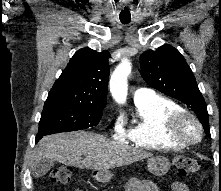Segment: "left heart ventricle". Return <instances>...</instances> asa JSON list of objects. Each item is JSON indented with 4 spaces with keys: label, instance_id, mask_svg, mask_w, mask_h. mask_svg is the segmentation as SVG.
<instances>
[{
    "label": "left heart ventricle",
    "instance_id": "obj_1",
    "mask_svg": "<svg viewBox=\"0 0 221 191\" xmlns=\"http://www.w3.org/2000/svg\"><path fill=\"white\" fill-rule=\"evenodd\" d=\"M189 132L192 134L194 131L192 129H189Z\"/></svg>",
    "mask_w": 221,
    "mask_h": 191
}]
</instances>
